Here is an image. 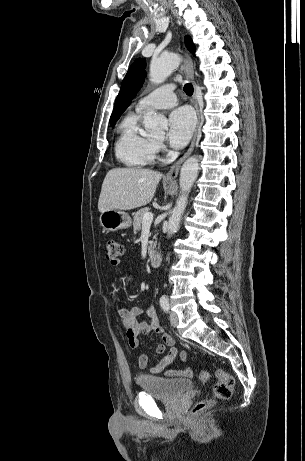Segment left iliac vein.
<instances>
[{
    "instance_id": "1",
    "label": "left iliac vein",
    "mask_w": 305,
    "mask_h": 461,
    "mask_svg": "<svg viewBox=\"0 0 305 461\" xmlns=\"http://www.w3.org/2000/svg\"><path fill=\"white\" fill-rule=\"evenodd\" d=\"M170 323L172 327L176 328L178 325V315L176 312H171L170 313Z\"/></svg>"
}]
</instances>
